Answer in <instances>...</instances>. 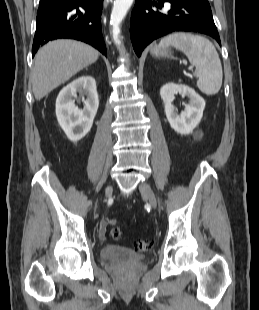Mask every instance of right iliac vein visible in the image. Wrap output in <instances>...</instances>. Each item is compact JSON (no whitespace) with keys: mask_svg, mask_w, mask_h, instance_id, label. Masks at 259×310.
I'll return each mask as SVG.
<instances>
[{"mask_svg":"<svg viewBox=\"0 0 259 310\" xmlns=\"http://www.w3.org/2000/svg\"><path fill=\"white\" fill-rule=\"evenodd\" d=\"M112 192H113L112 186H108V187L105 189V199H104V201H106L107 198H110V197H111Z\"/></svg>","mask_w":259,"mask_h":310,"instance_id":"63e3f726","label":"right iliac vein"}]
</instances>
